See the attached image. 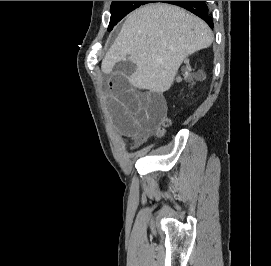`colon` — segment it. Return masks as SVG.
<instances>
[{"instance_id": "obj_1", "label": "colon", "mask_w": 271, "mask_h": 266, "mask_svg": "<svg viewBox=\"0 0 271 266\" xmlns=\"http://www.w3.org/2000/svg\"><path fill=\"white\" fill-rule=\"evenodd\" d=\"M168 124V120L163 121V126H166Z\"/></svg>"}]
</instances>
